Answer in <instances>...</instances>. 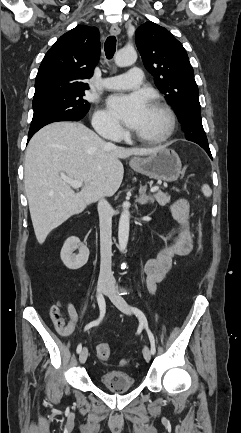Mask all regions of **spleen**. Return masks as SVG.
Segmentation results:
<instances>
[{
    "label": "spleen",
    "instance_id": "spleen-1",
    "mask_svg": "<svg viewBox=\"0 0 241 433\" xmlns=\"http://www.w3.org/2000/svg\"><path fill=\"white\" fill-rule=\"evenodd\" d=\"M202 192H203L204 196H206V197H210L212 194V190L208 184H204L202 186Z\"/></svg>",
    "mask_w": 241,
    "mask_h": 433
}]
</instances>
